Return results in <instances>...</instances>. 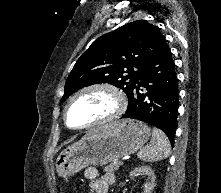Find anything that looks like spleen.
I'll return each instance as SVG.
<instances>
[{
  "label": "spleen",
  "mask_w": 221,
  "mask_h": 193,
  "mask_svg": "<svg viewBox=\"0 0 221 193\" xmlns=\"http://www.w3.org/2000/svg\"><path fill=\"white\" fill-rule=\"evenodd\" d=\"M170 143L167 136L158 128H153L150 144L143 147L137 156L144 162H155L169 156Z\"/></svg>",
  "instance_id": "1"
}]
</instances>
